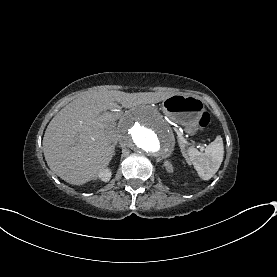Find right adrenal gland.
<instances>
[{
  "label": "right adrenal gland",
  "mask_w": 277,
  "mask_h": 277,
  "mask_svg": "<svg viewBox=\"0 0 277 277\" xmlns=\"http://www.w3.org/2000/svg\"><path fill=\"white\" fill-rule=\"evenodd\" d=\"M116 143H117V142H115V143L113 144V147H114V148H115V146H116Z\"/></svg>",
  "instance_id": "2a0ac1e0"
}]
</instances>
